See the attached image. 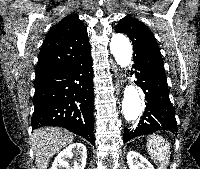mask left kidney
Masks as SVG:
<instances>
[{
	"mask_svg": "<svg viewBox=\"0 0 200 169\" xmlns=\"http://www.w3.org/2000/svg\"><path fill=\"white\" fill-rule=\"evenodd\" d=\"M127 163L129 169H154L152 164L146 158L135 151L128 152Z\"/></svg>",
	"mask_w": 200,
	"mask_h": 169,
	"instance_id": "1",
	"label": "left kidney"
}]
</instances>
